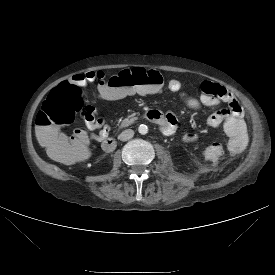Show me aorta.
Instances as JSON below:
<instances>
[{
    "label": "aorta",
    "instance_id": "aorta-1",
    "mask_svg": "<svg viewBox=\"0 0 275 275\" xmlns=\"http://www.w3.org/2000/svg\"><path fill=\"white\" fill-rule=\"evenodd\" d=\"M138 132L142 135H145L147 134L148 132V127L144 124H141L139 127H138Z\"/></svg>",
    "mask_w": 275,
    "mask_h": 275
}]
</instances>
